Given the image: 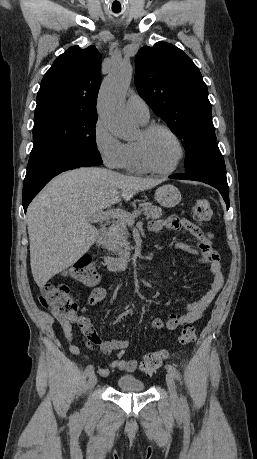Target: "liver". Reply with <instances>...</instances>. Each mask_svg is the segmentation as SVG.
Returning <instances> with one entry per match:
<instances>
[{
  "mask_svg": "<svg viewBox=\"0 0 257 459\" xmlns=\"http://www.w3.org/2000/svg\"><path fill=\"white\" fill-rule=\"evenodd\" d=\"M162 179L127 176L105 168H78L54 178L27 209L30 265L42 288L83 256L98 236L92 217Z\"/></svg>",
  "mask_w": 257,
  "mask_h": 459,
  "instance_id": "liver-1",
  "label": "liver"
}]
</instances>
